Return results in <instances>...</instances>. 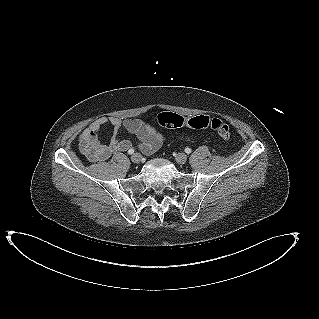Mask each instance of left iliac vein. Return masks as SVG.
<instances>
[{
  "instance_id": "1",
  "label": "left iliac vein",
  "mask_w": 319,
  "mask_h": 319,
  "mask_svg": "<svg viewBox=\"0 0 319 319\" xmlns=\"http://www.w3.org/2000/svg\"><path fill=\"white\" fill-rule=\"evenodd\" d=\"M175 160L179 164H184L187 161V155L185 153H178L175 157Z\"/></svg>"
}]
</instances>
